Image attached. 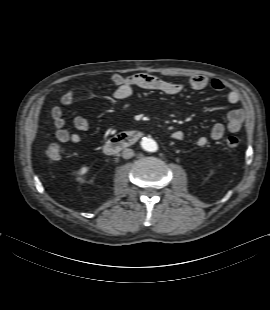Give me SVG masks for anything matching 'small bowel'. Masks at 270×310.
Wrapping results in <instances>:
<instances>
[{
  "mask_svg": "<svg viewBox=\"0 0 270 310\" xmlns=\"http://www.w3.org/2000/svg\"><path fill=\"white\" fill-rule=\"evenodd\" d=\"M110 80L115 87L113 97L116 100H124L132 95L134 89L142 88L146 90H155L168 95L179 94L183 91L184 86L180 83H174L163 80L157 76L147 73H135L130 75L112 74ZM189 85L194 90H203L210 86L217 92H223L227 89L224 82L219 79H213L209 81L206 76L195 75L190 81ZM75 96V89L67 91L61 99V105L63 107H71ZM227 100L230 104L236 105L240 103V94L236 90H229L227 93ZM51 116L53 119L54 135L60 142H72L82 143L83 139L79 133L70 132L65 128V119L62 107L56 105L51 110ZM228 122L225 126L222 123H216L211 127L210 136L214 140L221 139L225 131L228 130L231 133H237L241 130L243 122L246 118V111L242 108L232 109L228 113ZM73 124L76 129L85 131L88 129V120L80 115H76L73 118ZM171 137L174 140L180 141L184 138V133L180 130H175L171 133ZM207 138L200 136L196 143L202 147L207 144Z\"/></svg>",
  "mask_w": 270,
  "mask_h": 310,
  "instance_id": "1",
  "label": "small bowel"
}]
</instances>
